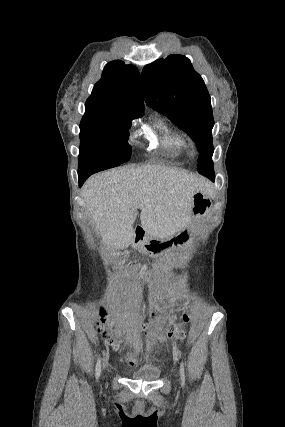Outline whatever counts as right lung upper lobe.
<instances>
[{
	"mask_svg": "<svg viewBox=\"0 0 285 427\" xmlns=\"http://www.w3.org/2000/svg\"><path fill=\"white\" fill-rule=\"evenodd\" d=\"M144 113L140 74L120 60L107 63L85 103L80 125L131 121Z\"/></svg>",
	"mask_w": 285,
	"mask_h": 427,
	"instance_id": "obj_1",
	"label": "right lung upper lobe"
}]
</instances>
